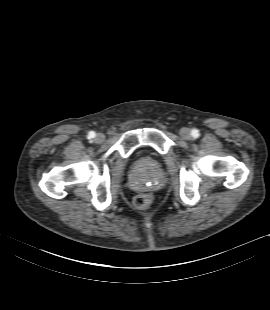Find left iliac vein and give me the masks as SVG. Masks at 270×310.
Masks as SVG:
<instances>
[{
	"mask_svg": "<svg viewBox=\"0 0 270 310\" xmlns=\"http://www.w3.org/2000/svg\"><path fill=\"white\" fill-rule=\"evenodd\" d=\"M179 135L184 140H189L191 138V131L188 128H181Z\"/></svg>",
	"mask_w": 270,
	"mask_h": 310,
	"instance_id": "1",
	"label": "left iliac vein"
}]
</instances>
